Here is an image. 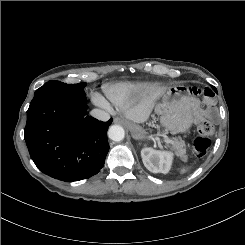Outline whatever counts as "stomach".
Segmentation results:
<instances>
[{"label": "stomach", "instance_id": "obj_1", "mask_svg": "<svg viewBox=\"0 0 245 245\" xmlns=\"http://www.w3.org/2000/svg\"><path fill=\"white\" fill-rule=\"evenodd\" d=\"M160 102L155 103L154 112L159 116L160 122L166 132L180 133L188 130L193 123V111L183 88L172 86L164 89L158 96ZM128 127L135 139H145L146 130L129 123Z\"/></svg>", "mask_w": 245, "mask_h": 245}]
</instances>
